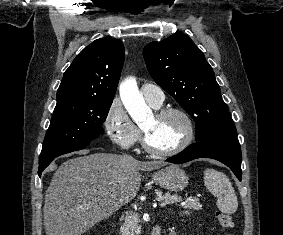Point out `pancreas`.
Masks as SVG:
<instances>
[{
	"label": "pancreas",
	"instance_id": "obj_1",
	"mask_svg": "<svg viewBox=\"0 0 283 235\" xmlns=\"http://www.w3.org/2000/svg\"><path fill=\"white\" fill-rule=\"evenodd\" d=\"M181 197L177 195H171L169 193L159 194L157 195V200L164 201L167 203H174L177 202L176 199ZM184 208L193 209V210H200L202 205L196 199L190 200L183 205ZM122 235H135L140 232V227L138 226V217L135 213H132L128 216L121 228Z\"/></svg>",
	"mask_w": 283,
	"mask_h": 235
}]
</instances>
